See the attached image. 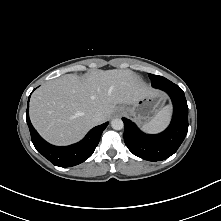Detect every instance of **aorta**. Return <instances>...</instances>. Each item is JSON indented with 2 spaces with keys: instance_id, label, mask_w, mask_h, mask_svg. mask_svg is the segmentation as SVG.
I'll return each instance as SVG.
<instances>
[{
  "instance_id": "762f6f07",
  "label": "aorta",
  "mask_w": 221,
  "mask_h": 221,
  "mask_svg": "<svg viewBox=\"0 0 221 221\" xmlns=\"http://www.w3.org/2000/svg\"><path fill=\"white\" fill-rule=\"evenodd\" d=\"M111 127L114 129V130H121L123 129L124 127V123L122 121V119L120 118H115L111 121Z\"/></svg>"
}]
</instances>
